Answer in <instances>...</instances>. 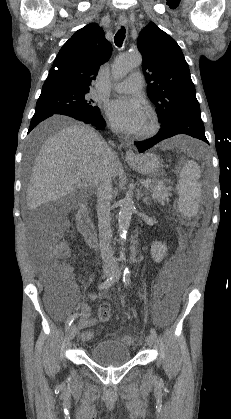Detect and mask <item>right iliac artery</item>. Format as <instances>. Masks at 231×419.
<instances>
[{
    "instance_id": "82829eb1",
    "label": "right iliac artery",
    "mask_w": 231,
    "mask_h": 419,
    "mask_svg": "<svg viewBox=\"0 0 231 419\" xmlns=\"http://www.w3.org/2000/svg\"><path fill=\"white\" fill-rule=\"evenodd\" d=\"M115 280H116L115 275L110 276L107 280H105L102 284L98 286V290H103V289H107L111 287L113 283L115 282ZM78 315L79 314L76 313L67 319L66 324H65L66 331L69 330L72 322L78 317Z\"/></svg>"
}]
</instances>
